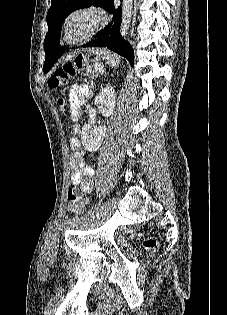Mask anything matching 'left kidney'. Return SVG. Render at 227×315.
Segmentation results:
<instances>
[{
    "label": "left kidney",
    "mask_w": 227,
    "mask_h": 315,
    "mask_svg": "<svg viewBox=\"0 0 227 315\" xmlns=\"http://www.w3.org/2000/svg\"><path fill=\"white\" fill-rule=\"evenodd\" d=\"M116 94L112 86L107 85L95 98V105L100 113L109 117L115 109ZM106 126H95L93 124H85L81 131V140L84 148L88 151H97L106 134Z\"/></svg>",
    "instance_id": "1"
}]
</instances>
